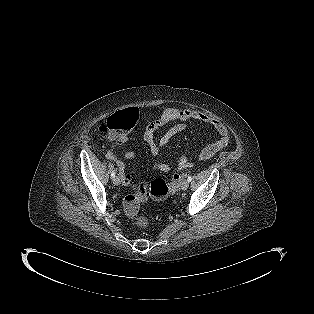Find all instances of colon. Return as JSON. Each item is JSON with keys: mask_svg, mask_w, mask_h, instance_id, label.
Returning a JSON list of instances; mask_svg holds the SVG:
<instances>
[{"mask_svg": "<svg viewBox=\"0 0 314 314\" xmlns=\"http://www.w3.org/2000/svg\"><path fill=\"white\" fill-rule=\"evenodd\" d=\"M138 117V110L134 107H128L111 115L101 126V131L108 139L125 135L135 127ZM187 174L188 169L175 174L170 185L160 178H152L135 184L133 186L134 192L127 195L123 200L125 214L136 226L147 227L150 224V218L139 212L141 204L151 197L159 200L165 199L171 191L179 187L181 180Z\"/></svg>", "mask_w": 314, "mask_h": 314, "instance_id": "obj_1", "label": "colon"}]
</instances>
